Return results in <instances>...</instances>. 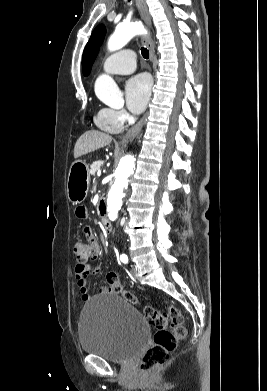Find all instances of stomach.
I'll list each match as a JSON object with an SVG mask.
<instances>
[{"instance_id":"0dacf381","label":"stomach","mask_w":267,"mask_h":391,"mask_svg":"<svg viewBox=\"0 0 267 391\" xmlns=\"http://www.w3.org/2000/svg\"><path fill=\"white\" fill-rule=\"evenodd\" d=\"M90 184L89 166L81 160L73 162L67 178V197L73 204H79L87 196Z\"/></svg>"}]
</instances>
